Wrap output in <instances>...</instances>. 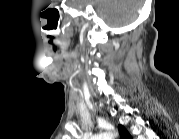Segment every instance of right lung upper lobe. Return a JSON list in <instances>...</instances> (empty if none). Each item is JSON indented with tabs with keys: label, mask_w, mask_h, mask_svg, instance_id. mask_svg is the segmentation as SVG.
Returning a JSON list of instances; mask_svg holds the SVG:
<instances>
[{
	"label": "right lung upper lobe",
	"mask_w": 179,
	"mask_h": 139,
	"mask_svg": "<svg viewBox=\"0 0 179 139\" xmlns=\"http://www.w3.org/2000/svg\"><path fill=\"white\" fill-rule=\"evenodd\" d=\"M119 131L122 139H131L132 137L129 135L128 131L122 126L119 125Z\"/></svg>",
	"instance_id": "1"
}]
</instances>
